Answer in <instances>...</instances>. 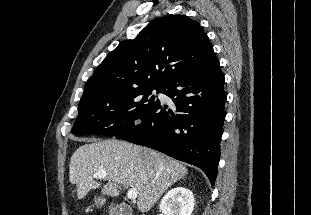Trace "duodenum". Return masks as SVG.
I'll return each mask as SVG.
<instances>
[{
    "label": "duodenum",
    "instance_id": "duodenum-1",
    "mask_svg": "<svg viewBox=\"0 0 311 215\" xmlns=\"http://www.w3.org/2000/svg\"><path fill=\"white\" fill-rule=\"evenodd\" d=\"M115 215H132L131 208L128 205L120 204L115 208Z\"/></svg>",
    "mask_w": 311,
    "mask_h": 215
}]
</instances>
